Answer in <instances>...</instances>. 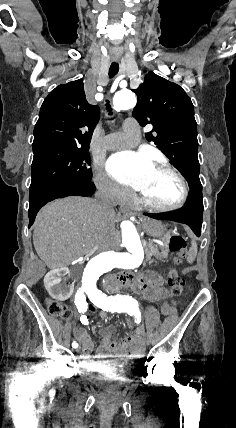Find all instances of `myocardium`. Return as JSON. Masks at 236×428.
<instances>
[{"instance_id": "1", "label": "myocardium", "mask_w": 236, "mask_h": 428, "mask_svg": "<svg viewBox=\"0 0 236 428\" xmlns=\"http://www.w3.org/2000/svg\"><path fill=\"white\" fill-rule=\"evenodd\" d=\"M154 169L165 170L168 173L172 174L178 180L181 186L180 198L172 205L163 206L150 201L141 192H139L138 200L140 201V203L158 212H173L181 209L187 203L190 196V189L186 177L169 161H160L154 164Z\"/></svg>"}]
</instances>
